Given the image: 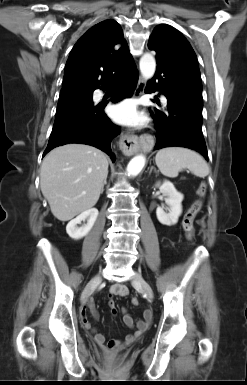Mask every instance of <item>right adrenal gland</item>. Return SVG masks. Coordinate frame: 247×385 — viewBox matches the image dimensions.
<instances>
[{"label":"right adrenal gland","instance_id":"2a0ac1e0","mask_svg":"<svg viewBox=\"0 0 247 385\" xmlns=\"http://www.w3.org/2000/svg\"><path fill=\"white\" fill-rule=\"evenodd\" d=\"M107 184V177L104 179V182H103V185H102V189H101V193H103L104 191V186Z\"/></svg>","mask_w":247,"mask_h":385}]
</instances>
